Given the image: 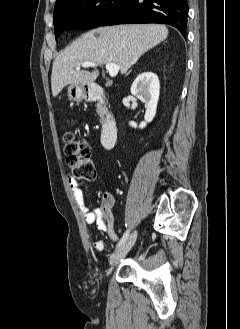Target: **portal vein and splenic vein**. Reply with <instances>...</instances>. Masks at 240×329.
Segmentation results:
<instances>
[{"label":"portal vein and splenic vein","instance_id":"portal-vein-and-splenic-vein-1","mask_svg":"<svg viewBox=\"0 0 240 329\" xmlns=\"http://www.w3.org/2000/svg\"><path fill=\"white\" fill-rule=\"evenodd\" d=\"M97 66L96 63L93 62H83L82 64L76 67V70H80L81 67L88 68V67H95ZM120 67L115 63H108L106 64V70L109 72L110 77H115L119 72Z\"/></svg>","mask_w":240,"mask_h":329}]
</instances>
